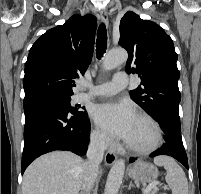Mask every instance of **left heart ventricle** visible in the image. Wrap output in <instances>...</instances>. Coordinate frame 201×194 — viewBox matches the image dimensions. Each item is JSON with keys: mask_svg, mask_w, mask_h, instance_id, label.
<instances>
[{"mask_svg": "<svg viewBox=\"0 0 201 194\" xmlns=\"http://www.w3.org/2000/svg\"><path fill=\"white\" fill-rule=\"evenodd\" d=\"M155 141L153 127L145 120L136 117L127 143L137 147H149Z\"/></svg>", "mask_w": 201, "mask_h": 194, "instance_id": "obj_1", "label": "left heart ventricle"}]
</instances>
